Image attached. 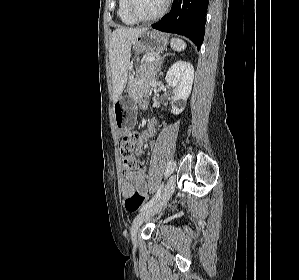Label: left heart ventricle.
I'll use <instances>...</instances> for the list:
<instances>
[{
    "instance_id": "1",
    "label": "left heart ventricle",
    "mask_w": 299,
    "mask_h": 280,
    "mask_svg": "<svg viewBox=\"0 0 299 280\" xmlns=\"http://www.w3.org/2000/svg\"><path fill=\"white\" fill-rule=\"evenodd\" d=\"M165 0H134V11L141 17H150L156 14Z\"/></svg>"
}]
</instances>
